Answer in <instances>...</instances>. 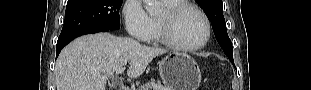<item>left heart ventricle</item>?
<instances>
[{"label": "left heart ventricle", "instance_id": "b2bd125f", "mask_svg": "<svg viewBox=\"0 0 311 90\" xmlns=\"http://www.w3.org/2000/svg\"><path fill=\"white\" fill-rule=\"evenodd\" d=\"M205 24L198 13L184 10L175 20L172 34L175 41L183 46L199 43L205 36Z\"/></svg>", "mask_w": 311, "mask_h": 90}]
</instances>
